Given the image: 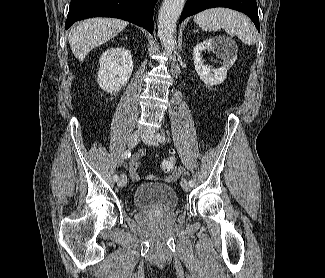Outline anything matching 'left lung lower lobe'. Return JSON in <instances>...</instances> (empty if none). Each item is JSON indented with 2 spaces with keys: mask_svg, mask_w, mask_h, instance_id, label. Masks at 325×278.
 I'll return each mask as SVG.
<instances>
[{
  "mask_svg": "<svg viewBox=\"0 0 325 278\" xmlns=\"http://www.w3.org/2000/svg\"><path fill=\"white\" fill-rule=\"evenodd\" d=\"M213 7H227L245 13L260 31L258 9L255 0H187L180 16V23L188 16Z\"/></svg>",
  "mask_w": 325,
  "mask_h": 278,
  "instance_id": "left-lung-lower-lobe-1",
  "label": "left lung lower lobe"
}]
</instances>
